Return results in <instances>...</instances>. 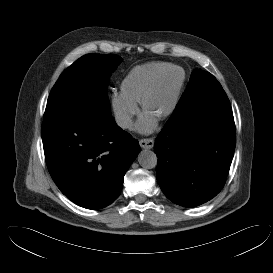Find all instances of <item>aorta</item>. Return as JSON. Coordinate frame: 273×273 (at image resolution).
Segmentation results:
<instances>
[{"label": "aorta", "instance_id": "aorta-1", "mask_svg": "<svg viewBox=\"0 0 273 273\" xmlns=\"http://www.w3.org/2000/svg\"><path fill=\"white\" fill-rule=\"evenodd\" d=\"M138 162L143 168L152 169L157 164V156L151 150H142L138 155Z\"/></svg>", "mask_w": 273, "mask_h": 273}]
</instances>
